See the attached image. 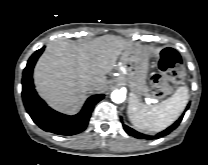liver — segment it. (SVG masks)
Here are the masks:
<instances>
[{"instance_id": "1", "label": "liver", "mask_w": 208, "mask_h": 165, "mask_svg": "<svg viewBox=\"0 0 208 165\" xmlns=\"http://www.w3.org/2000/svg\"><path fill=\"white\" fill-rule=\"evenodd\" d=\"M134 48L120 37L105 35L90 42L75 44L67 41L50 43L34 69L37 91L47 103L66 113H74L81 104L88 86L97 91L107 88L106 75L116 66L120 56Z\"/></svg>"}]
</instances>
